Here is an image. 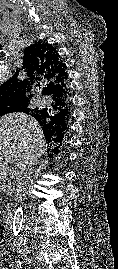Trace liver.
<instances>
[{"label": "liver", "mask_w": 118, "mask_h": 269, "mask_svg": "<svg viewBox=\"0 0 118 269\" xmlns=\"http://www.w3.org/2000/svg\"><path fill=\"white\" fill-rule=\"evenodd\" d=\"M46 150L41 126L32 116L11 113L0 117V177L18 170L23 161L36 163Z\"/></svg>", "instance_id": "liver-1"}]
</instances>
